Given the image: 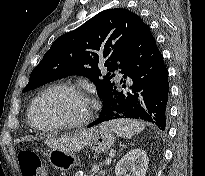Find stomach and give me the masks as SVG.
I'll use <instances>...</instances> for the list:
<instances>
[{"label": "stomach", "mask_w": 205, "mask_h": 176, "mask_svg": "<svg viewBox=\"0 0 205 176\" xmlns=\"http://www.w3.org/2000/svg\"><path fill=\"white\" fill-rule=\"evenodd\" d=\"M116 141V137L110 129L102 125L91 129V136L88 142L95 153H103L110 150ZM50 164L57 170L68 171L77 165V157L73 151H63L53 148L48 155Z\"/></svg>", "instance_id": "0dacf381"}]
</instances>
